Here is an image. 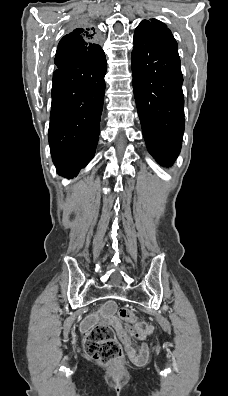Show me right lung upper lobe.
Segmentation results:
<instances>
[{
    "label": "right lung upper lobe",
    "mask_w": 228,
    "mask_h": 396,
    "mask_svg": "<svg viewBox=\"0 0 228 396\" xmlns=\"http://www.w3.org/2000/svg\"><path fill=\"white\" fill-rule=\"evenodd\" d=\"M95 31L93 28H77L70 34L64 36L59 42L58 47L62 45H71L72 47L84 50L86 47L95 49L96 44L92 43Z\"/></svg>",
    "instance_id": "right-lung-upper-lobe-1"
}]
</instances>
